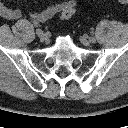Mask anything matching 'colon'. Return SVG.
<instances>
[{
  "instance_id": "1",
  "label": "colon",
  "mask_w": 128,
  "mask_h": 128,
  "mask_svg": "<svg viewBox=\"0 0 128 128\" xmlns=\"http://www.w3.org/2000/svg\"><path fill=\"white\" fill-rule=\"evenodd\" d=\"M120 2L128 4V0H120ZM74 13H75V7L66 6L61 10L60 18L63 20L70 19L74 15Z\"/></svg>"
}]
</instances>
